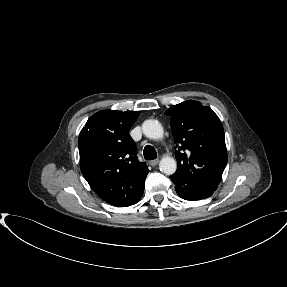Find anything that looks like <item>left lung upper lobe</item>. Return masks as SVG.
<instances>
[{
	"mask_svg": "<svg viewBox=\"0 0 287 287\" xmlns=\"http://www.w3.org/2000/svg\"><path fill=\"white\" fill-rule=\"evenodd\" d=\"M171 129L178 150L175 185L190 190H215L227 164L224 130L215 112L198 101H185L169 108Z\"/></svg>",
	"mask_w": 287,
	"mask_h": 287,
	"instance_id": "5c2ea615",
	"label": "left lung upper lobe"
}]
</instances>
